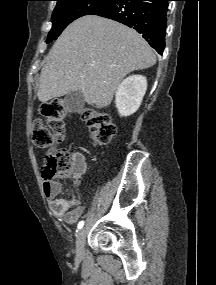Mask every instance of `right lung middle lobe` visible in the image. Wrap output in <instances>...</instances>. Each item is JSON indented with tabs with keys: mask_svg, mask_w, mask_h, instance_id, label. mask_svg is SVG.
I'll return each mask as SVG.
<instances>
[{
	"mask_svg": "<svg viewBox=\"0 0 216 285\" xmlns=\"http://www.w3.org/2000/svg\"><path fill=\"white\" fill-rule=\"evenodd\" d=\"M57 5L52 14V29L46 40L47 44L57 39L62 31L74 20L88 15L112 0H55Z\"/></svg>",
	"mask_w": 216,
	"mask_h": 285,
	"instance_id": "right-lung-middle-lobe-1",
	"label": "right lung middle lobe"
}]
</instances>
